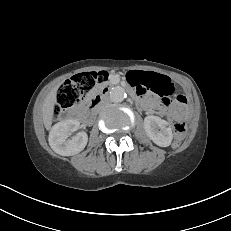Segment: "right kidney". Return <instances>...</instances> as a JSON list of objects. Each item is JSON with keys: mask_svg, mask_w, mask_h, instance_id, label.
Listing matches in <instances>:
<instances>
[{"mask_svg": "<svg viewBox=\"0 0 231 231\" xmlns=\"http://www.w3.org/2000/svg\"><path fill=\"white\" fill-rule=\"evenodd\" d=\"M80 126L77 120H65L55 124L49 133V145L54 152L62 156H71L81 152L88 142V135L79 132L71 139L70 133L76 131Z\"/></svg>", "mask_w": 231, "mask_h": 231, "instance_id": "ca27d5eb", "label": "right kidney"}]
</instances>
